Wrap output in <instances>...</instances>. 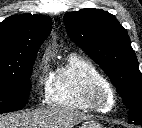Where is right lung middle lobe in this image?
<instances>
[{"label": "right lung middle lobe", "instance_id": "1", "mask_svg": "<svg viewBox=\"0 0 142 128\" xmlns=\"http://www.w3.org/2000/svg\"><path fill=\"white\" fill-rule=\"evenodd\" d=\"M33 64L34 59L13 72L0 74V114L20 110L27 104Z\"/></svg>", "mask_w": 142, "mask_h": 128}]
</instances>
